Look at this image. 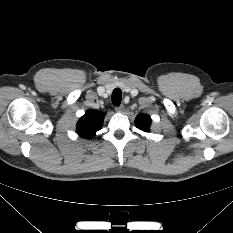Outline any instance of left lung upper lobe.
<instances>
[{"mask_svg": "<svg viewBox=\"0 0 233 233\" xmlns=\"http://www.w3.org/2000/svg\"><path fill=\"white\" fill-rule=\"evenodd\" d=\"M135 124L140 130L148 132L151 125V118L146 114H140L136 117Z\"/></svg>", "mask_w": 233, "mask_h": 233, "instance_id": "left-lung-upper-lobe-1", "label": "left lung upper lobe"}]
</instances>
